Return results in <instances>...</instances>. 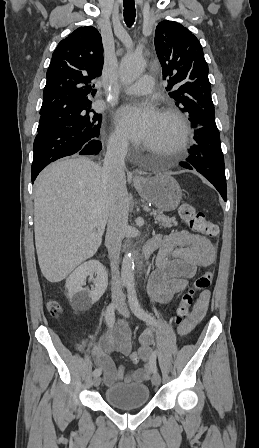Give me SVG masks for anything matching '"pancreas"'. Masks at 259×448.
<instances>
[{
  "label": "pancreas",
  "mask_w": 259,
  "mask_h": 448,
  "mask_svg": "<svg viewBox=\"0 0 259 448\" xmlns=\"http://www.w3.org/2000/svg\"><path fill=\"white\" fill-rule=\"evenodd\" d=\"M151 216H154V220L159 222L163 228H172V226H177L176 218H169V216H164L163 212L160 210H153Z\"/></svg>",
  "instance_id": "1"
}]
</instances>
